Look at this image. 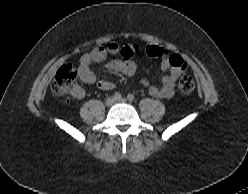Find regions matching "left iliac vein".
<instances>
[{
    "label": "left iliac vein",
    "mask_w": 248,
    "mask_h": 194,
    "mask_svg": "<svg viewBox=\"0 0 248 194\" xmlns=\"http://www.w3.org/2000/svg\"><path fill=\"white\" fill-rule=\"evenodd\" d=\"M117 103H126L127 100L125 98H121L119 100H116Z\"/></svg>",
    "instance_id": "4c4485c4"
}]
</instances>
